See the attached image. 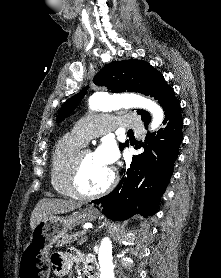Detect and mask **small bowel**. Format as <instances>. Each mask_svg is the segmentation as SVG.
I'll list each match as a JSON object with an SVG mask.
<instances>
[{
	"mask_svg": "<svg viewBox=\"0 0 221 278\" xmlns=\"http://www.w3.org/2000/svg\"><path fill=\"white\" fill-rule=\"evenodd\" d=\"M89 259L84 257L77 250L69 249L65 253H54L51 257V265L56 276L60 278H71L72 277V267L76 260Z\"/></svg>",
	"mask_w": 221,
	"mask_h": 278,
	"instance_id": "c3829d8e",
	"label": "small bowel"
}]
</instances>
